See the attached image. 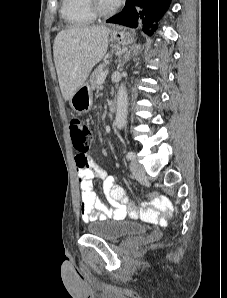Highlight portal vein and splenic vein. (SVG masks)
Wrapping results in <instances>:
<instances>
[{
  "label": "portal vein and splenic vein",
  "mask_w": 227,
  "mask_h": 298,
  "mask_svg": "<svg viewBox=\"0 0 227 298\" xmlns=\"http://www.w3.org/2000/svg\"><path fill=\"white\" fill-rule=\"evenodd\" d=\"M108 70L104 71L103 74H101L98 79H97V82L98 84H102L104 82V80L106 79V76L108 74Z\"/></svg>",
  "instance_id": "obj_1"
}]
</instances>
